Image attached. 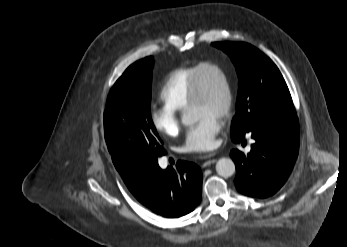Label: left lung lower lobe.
Listing matches in <instances>:
<instances>
[{
    "label": "left lung lower lobe",
    "instance_id": "left-lung-lower-lobe-1",
    "mask_svg": "<svg viewBox=\"0 0 347 247\" xmlns=\"http://www.w3.org/2000/svg\"><path fill=\"white\" fill-rule=\"evenodd\" d=\"M251 134L254 143L245 155L234 149L230 156L236 165L235 185L242 194L266 198L287 181L299 151V123L295 117H272L243 134H231L234 143Z\"/></svg>",
    "mask_w": 347,
    "mask_h": 247
}]
</instances>
